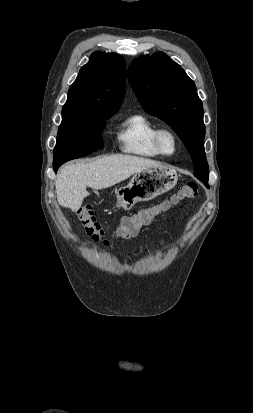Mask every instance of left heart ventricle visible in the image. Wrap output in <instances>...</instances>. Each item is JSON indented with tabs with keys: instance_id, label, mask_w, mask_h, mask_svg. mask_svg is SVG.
<instances>
[{
	"instance_id": "b2bd125f",
	"label": "left heart ventricle",
	"mask_w": 253,
	"mask_h": 413,
	"mask_svg": "<svg viewBox=\"0 0 253 413\" xmlns=\"http://www.w3.org/2000/svg\"><path fill=\"white\" fill-rule=\"evenodd\" d=\"M162 148L165 152L171 153L174 149V141L169 134H164L161 138Z\"/></svg>"
}]
</instances>
